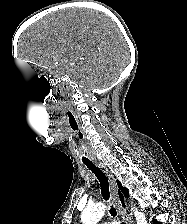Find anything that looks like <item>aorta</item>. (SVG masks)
Instances as JSON below:
<instances>
[{
  "instance_id": "obj_1",
  "label": "aorta",
  "mask_w": 187,
  "mask_h": 224,
  "mask_svg": "<svg viewBox=\"0 0 187 224\" xmlns=\"http://www.w3.org/2000/svg\"><path fill=\"white\" fill-rule=\"evenodd\" d=\"M106 211V205L98 203L85 208L81 214L82 224H97ZM134 216L137 224H147L146 216L134 207Z\"/></svg>"
}]
</instances>
